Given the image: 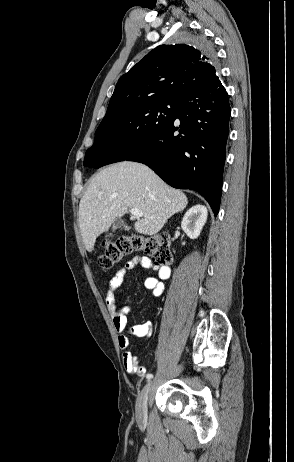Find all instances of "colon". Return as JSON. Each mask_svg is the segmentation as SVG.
I'll use <instances>...</instances> for the list:
<instances>
[{
  "label": "colon",
  "mask_w": 294,
  "mask_h": 462,
  "mask_svg": "<svg viewBox=\"0 0 294 462\" xmlns=\"http://www.w3.org/2000/svg\"><path fill=\"white\" fill-rule=\"evenodd\" d=\"M135 252L146 254L157 265H169L173 259L170 237L158 233L151 236L121 235L107 242L98 263L103 269H110L123 257Z\"/></svg>",
  "instance_id": "1"
}]
</instances>
